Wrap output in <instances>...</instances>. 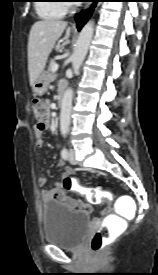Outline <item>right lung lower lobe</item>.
<instances>
[{
    "label": "right lung lower lobe",
    "instance_id": "right-lung-lower-lobe-1",
    "mask_svg": "<svg viewBox=\"0 0 158 275\" xmlns=\"http://www.w3.org/2000/svg\"><path fill=\"white\" fill-rule=\"evenodd\" d=\"M92 1L94 4L92 5V7L89 10L76 15V22H77L78 30H80L83 27V25L87 22V20L90 18L91 14H92L93 8H94L97 0H92Z\"/></svg>",
    "mask_w": 158,
    "mask_h": 275
}]
</instances>
